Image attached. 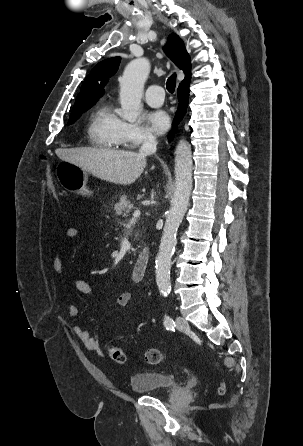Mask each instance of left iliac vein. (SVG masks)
<instances>
[{
  "instance_id": "4c4485c4",
  "label": "left iliac vein",
  "mask_w": 303,
  "mask_h": 446,
  "mask_svg": "<svg viewBox=\"0 0 303 446\" xmlns=\"http://www.w3.org/2000/svg\"><path fill=\"white\" fill-rule=\"evenodd\" d=\"M176 327L180 331L187 330L189 328V324L187 320H185L183 317L178 316L176 318Z\"/></svg>"
}]
</instances>
